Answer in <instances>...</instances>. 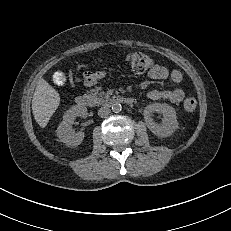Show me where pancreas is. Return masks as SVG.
<instances>
[{
	"label": "pancreas",
	"instance_id": "cf45deb5",
	"mask_svg": "<svg viewBox=\"0 0 231 231\" xmlns=\"http://www.w3.org/2000/svg\"><path fill=\"white\" fill-rule=\"evenodd\" d=\"M88 96L94 101L95 104H101L109 97L105 92H99L95 89H91L88 92Z\"/></svg>",
	"mask_w": 231,
	"mask_h": 231
}]
</instances>
